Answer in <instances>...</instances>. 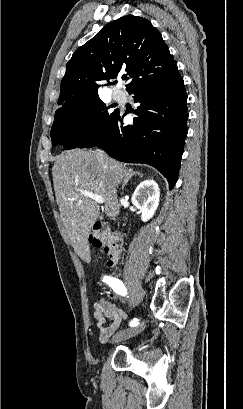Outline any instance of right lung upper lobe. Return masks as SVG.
<instances>
[{
  "mask_svg": "<svg viewBox=\"0 0 243 409\" xmlns=\"http://www.w3.org/2000/svg\"><path fill=\"white\" fill-rule=\"evenodd\" d=\"M176 66L160 32L150 21L126 15L103 27L73 54L66 64L58 104L65 107L98 97L105 81L122 73L123 79L130 80L126 88L129 90Z\"/></svg>",
  "mask_w": 243,
  "mask_h": 409,
  "instance_id": "cb5924a9",
  "label": "right lung upper lobe"
}]
</instances>
